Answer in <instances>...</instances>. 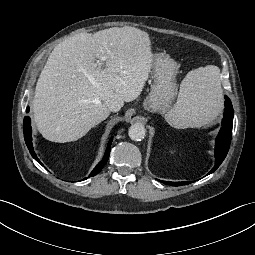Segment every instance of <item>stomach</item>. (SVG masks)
Here are the masks:
<instances>
[{"label":"stomach","instance_id":"obj_1","mask_svg":"<svg viewBox=\"0 0 255 255\" xmlns=\"http://www.w3.org/2000/svg\"><path fill=\"white\" fill-rule=\"evenodd\" d=\"M151 68L154 82L143 102V108L153 113H168L177 95L175 78L179 67L170 56L158 53L153 56Z\"/></svg>","mask_w":255,"mask_h":255}]
</instances>
